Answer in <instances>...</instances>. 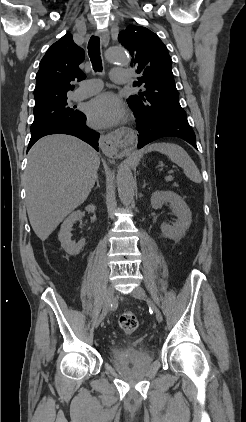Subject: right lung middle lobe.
Masks as SVG:
<instances>
[{
	"label": "right lung middle lobe",
	"instance_id": "dd1d6c3e",
	"mask_svg": "<svg viewBox=\"0 0 246 422\" xmlns=\"http://www.w3.org/2000/svg\"><path fill=\"white\" fill-rule=\"evenodd\" d=\"M80 114L81 112L67 105V99L59 100L47 106L34 109V121L30 130L33 131L51 123L72 121L78 118Z\"/></svg>",
	"mask_w": 246,
	"mask_h": 422
}]
</instances>
